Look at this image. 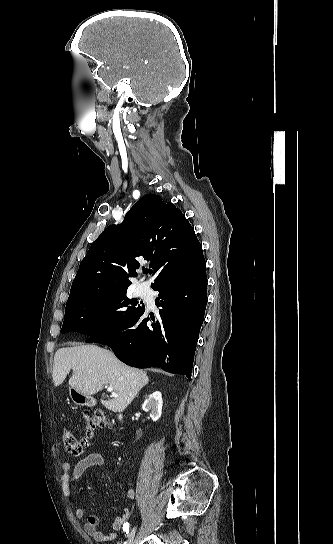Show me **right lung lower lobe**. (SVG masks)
Segmentation results:
<instances>
[{
	"instance_id": "1",
	"label": "right lung lower lobe",
	"mask_w": 333,
	"mask_h": 544,
	"mask_svg": "<svg viewBox=\"0 0 333 544\" xmlns=\"http://www.w3.org/2000/svg\"><path fill=\"white\" fill-rule=\"evenodd\" d=\"M160 318L147 324L145 309L114 330L89 337L105 344L118 359L137 368L158 367L191 378L195 349L207 304L206 266L193 274L168 279L153 288Z\"/></svg>"
}]
</instances>
